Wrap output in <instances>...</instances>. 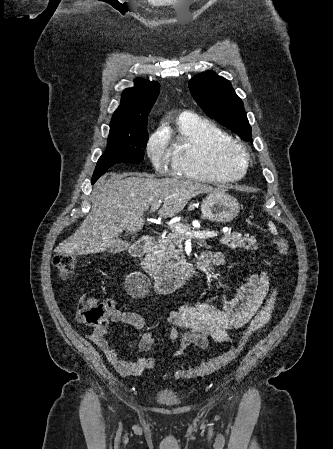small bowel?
I'll return each instance as SVG.
<instances>
[{
	"instance_id": "1",
	"label": "small bowel",
	"mask_w": 333,
	"mask_h": 449,
	"mask_svg": "<svg viewBox=\"0 0 333 449\" xmlns=\"http://www.w3.org/2000/svg\"><path fill=\"white\" fill-rule=\"evenodd\" d=\"M211 264L220 265L223 257L219 253H210ZM276 290L270 283L267 273L248 274L240 285L236 296L224 304H184L168 315L170 325L168 337L172 343L180 340V348L175 356L182 355L189 347L206 349L212 339L220 343L238 340L246 341L261 330L269 321L276 300ZM96 301L87 299L86 303ZM112 321L130 325L137 330L144 326V319L136 313L115 310ZM90 340L101 349L110 364L122 376H137L145 369H153L157 362L154 357H139L135 361H126L119 357L112 347L106 329L95 328ZM153 337L144 333L139 341L143 352L150 351Z\"/></svg>"
}]
</instances>
